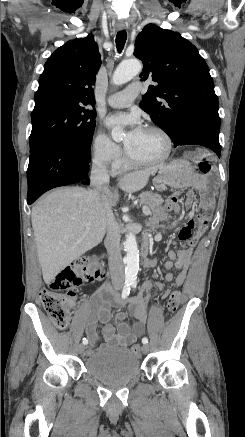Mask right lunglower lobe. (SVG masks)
I'll use <instances>...</instances> for the list:
<instances>
[{
  "label": "right lung lower lobe",
  "instance_id": "1",
  "mask_svg": "<svg viewBox=\"0 0 245 437\" xmlns=\"http://www.w3.org/2000/svg\"><path fill=\"white\" fill-rule=\"evenodd\" d=\"M90 161V147L69 148L52 140L38 144L30 150L27 202L33 203L43 193L58 186L83 179L89 184L86 176Z\"/></svg>",
  "mask_w": 245,
  "mask_h": 437
}]
</instances>
